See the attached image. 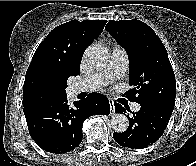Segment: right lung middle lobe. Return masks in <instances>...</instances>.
Segmentation results:
<instances>
[{
	"label": "right lung middle lobe",
	"mask_w": 196,
	"mask_h": 166,
	"mask_svg": "<svg viewBox=\"0 0 196 166\" xmlns=\"http://www.w3.org/2000/svg\"><path fill=\"white\" fill-rule=\"evenodd\" d=\"M67 81L37 75L27 86L23 94V106H29L66 95Z\"/></svg>",
	"instance_id": "obj_1"
}]
</instances>
